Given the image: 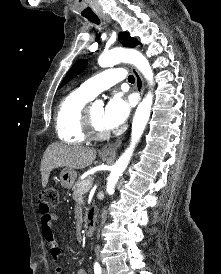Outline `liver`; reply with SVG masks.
Returning a JSON list of instances; mask_svg holds the SVG:
<instances>
[{
	"instance_id": "1",
	"label": "liver",
	"mask_w": 221,
	"mask_h": 274,
	"mask_svg": "<svg viewBox=\"0 0 221 274\" xmlns=\"http://www.w3.org/2000/svg\"><path fill=\"white\" fill-rule=\"evenodd\" d=\"M96 151L82 146H67L53 143L46 149L41 161L42 186L48 184L50 172L59 167L84 169L92 164L96 158Z\"/></svg>"
}]
</instances>
